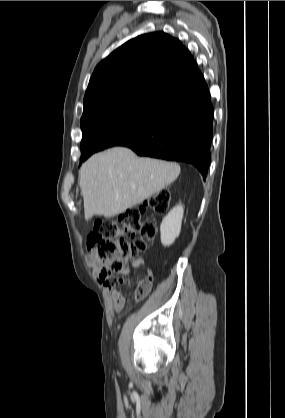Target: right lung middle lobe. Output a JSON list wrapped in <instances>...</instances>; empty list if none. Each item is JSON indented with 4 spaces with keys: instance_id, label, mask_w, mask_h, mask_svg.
I'll use <instances>...</instances> for the list:
<instances>
[{
    "instance_id": "right-lung-middle-lobe-1",
    "label": "right lung middle lobe",
    "mask_w": 285,
    "mask_h": 418,
    "mask_svg": "<svg viewBox=\"0 0 285 418\" xmlns=\"http://www.w3.org/2000/svg\"><path fill=\"white\" fill-rule=\"evenodd\" d=\"M167 108L155 102L135 100L107 105L81 118L80 163L95 152L133 137L157 120Z\"/></svg>"
}]
</instances>
